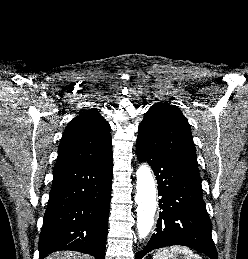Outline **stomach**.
<instances>
[{
  "label": "stomach",
  "instance_id": "0dacf381",
  "mask_svg": "<svg viewBox=\"0 0 248 259\" xmlns=\"http://www.w3.org/2000/svg\"><path fill=\"white\" fill-rule=\"evenodd\" d=\"M179 256H180V258L182 257L181 255L178 254L174 259H177V257H179Z\"/></svg>",
  "mask_w": 248,
  "mask_h": 259
}]
</instances>
